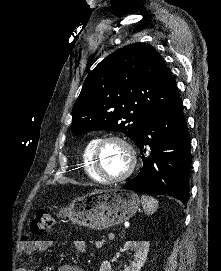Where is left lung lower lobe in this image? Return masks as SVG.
<instances>
[{
    "label": "left lung lower lobe",
    "mask_w": 221,
    "mask_h": 271,
    "mask_svg": "<svg viewBox=\"0 0 221 271\" xmlns=\"http://www.w3.org/2000/svg\"><path fill=\"white\" fill-rule=\"evenodd\" d=\"M143 165L137 177L123 188L156 195H171L184 204L189 199L191 138L178 92L160 112L141 127L135 141ZM148 145L151 155L144 156Z\"/></svg>",
    "instance_id": "obj_1"
}]
</instances>
